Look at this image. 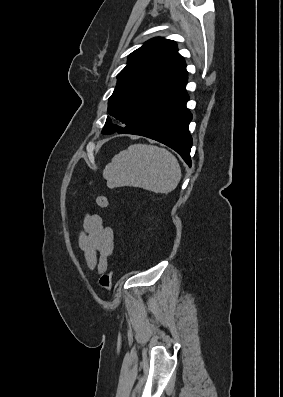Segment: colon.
Instances as JSON below:
<instances>
[{
    "mask_svg": "<svg viewBox=\"0 0 283 397\" xmlns=\"http://www.w3.org/2000/svg\"><path fill=\"white\" fill-rule=\"evenodd\" d=\"M97 204L101 208H107L109 205L108 198L105 195L97 197ZM113 282V272H107L103 274L99 280L100 287L104 290H109Z\"/></svg>",
    "mask_w": 283,
    "mask_h": 397,
    "instance_id": "5ec220e1",
    "label": "colon"
}]
</instances>
